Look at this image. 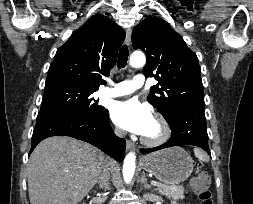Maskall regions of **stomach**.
Returning a JSON list of instances; mask_svg holds the SVG:
<instances>
[{"label": "stomach", "mask_w": 253, "mask_h": 204, "mask_svg": "<svg viewBox=\"0 0 253 204\" xmlns=\"http://www.w3.org/2000/svg\"><path fill=\"white\" fill-rule=\"evenodd\" d=\"M141 164L145 171L152 173L166 185L185 181L193 171V160L181 147H172L143 156Z\"/></svg>", "instance_id": "obj_1"}]
</instances>
